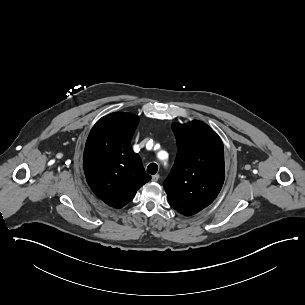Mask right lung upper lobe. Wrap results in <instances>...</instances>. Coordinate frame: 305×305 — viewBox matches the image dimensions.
Listing matches in <instances>:
<instances>
[{"instance_id": "cb5924a9", "label": "right lung upper lobe", "mask_w": 305, "mask_h": 305, "mask_svg": "<svg viewBox=\"0 0 305 305\" xmlns=\"http://www.w3.org/2000/svg\"><path fill=\"white\" fill-rule=\"evenodd\" d=\"M139 118L116 112L102 117L86 141L83 166L86 180L95 195L109 206L121 208L151 176L131 148Z\"/></svg>"}]
</instances>
